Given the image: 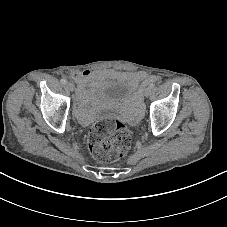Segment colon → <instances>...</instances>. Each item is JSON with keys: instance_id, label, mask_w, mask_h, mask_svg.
Here are the masks:
<instances>
[{"instance_id": "1", "label": "colon", "mask_w": 227, "mask_h": 227, "mask_svg": "<svg viewBox=\"0 0 227 227\" xmlns=\"http://www.w3.org/2000/svg\"><path fill=\"white\" fill-rule=\"evenodd\" d=\"M129 130L120 122L101 120L96 122L88 134V147L94 158L102 162H113L122 157L130 147Z\"/></svg>"}]
</instances>
